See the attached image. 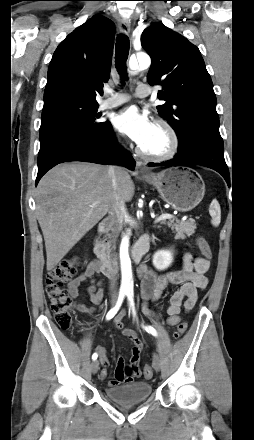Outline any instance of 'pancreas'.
Returning <instances> with one entry per match:
<instances>
[{
  "mask_svg": "<svg viewBox=\"0 0 254 440\" xmlns=\"http://www.w3.org/2000/svg\"><path fill=\"white\" fill-rule=\"evenodd\" d=\"M167 224L175 233L176 239H185L187 236H191L195 233L196 223L194 220L190 221H176L169 220L168 222H162Z\"/></svg>",
  "mask_w": 254,
  "mask_h": 440,
  "instance_id": "1",
  "label": "pancreas"
}]
</instances>
